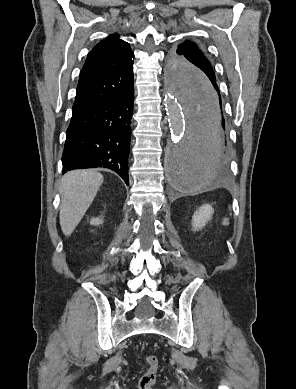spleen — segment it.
I'll use <instances>...</instances> for the list:
<instances>
[{
  "instance_id": "spleen-1",
  "label": "spleen",
  "mask_w": 296,
  "mask_h": 389,
  "mask_svg": "<svg viewBox=\"0 0 296 389\" xmlns=\"http://www.w3.org/2000/svg\"><path fill=\"white\" fill-rule=\"evenodd\" d=\"M192 179L196 180L197 182H196L195 184H191V185L188 187L189 190H195V189H197L198 186H199V183L203 181V179H201V178H192ZM199 180H200V181H199Z\"/></svg>"
}]
</instances>
